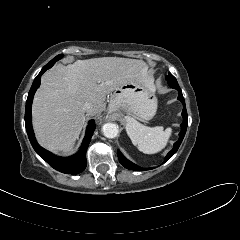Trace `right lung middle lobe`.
Returning a JSON list of instances; mask_svg holds the SVG:
<instances>
[{"mask_svg":"<svg viewBox=\"0 0 240 240\" xmlns=\"http://www.w3.org/2000/svg\"><path fill=\"white\" fill-rule=\"evenodd\" d=\"M63 57V54H60L58 56H56L54 59H52V62H56L57 60L61 59Z\"/></svg>","mask_w":240,"mask_h":240,"instance_id":"obj_1","label":"right lung middle lobe"}]
</instances>
